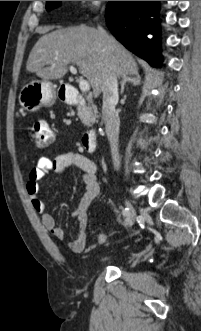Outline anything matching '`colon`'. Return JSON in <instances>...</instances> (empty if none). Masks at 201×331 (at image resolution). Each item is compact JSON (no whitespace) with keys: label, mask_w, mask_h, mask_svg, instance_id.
I'll return each mask as SVG.
<instances>
[{"label":"colon","mask_w":201,"mask_h":331,"mask_svg":"<svg viewBox=\"0 0 201 331\" xmlns=\"http://www.w3.org/2000/svg\"><path fill=\"white\" fill-rule=\"evenodd\" d=\"M31 137L39 148L50 146L54 140L53 131L49 124L44 120H38L32 124Z\"/></svg>","instance_id":"1"}]
</instances>
